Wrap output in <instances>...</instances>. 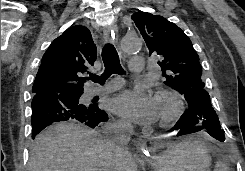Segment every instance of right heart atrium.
I'll use <instances>...</instances> for the list:
<instances>
[{"instance_id":"obj_1","label":"right heart atrium","mask_w":245,"mask_h":171,"mask_svg":"<svg viewBox=\"0 0 245 171\" xmlns=\"http://www.w3.org/2000/svg\"><path fill=\"white\" fill-rule=\"evenodd\" d=\"M119 126H120V127H127V124L124 123V122H120V123H119Z\"/></svg>"}]
</instances>
